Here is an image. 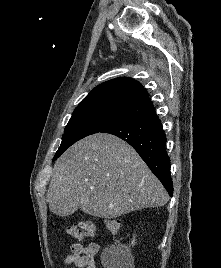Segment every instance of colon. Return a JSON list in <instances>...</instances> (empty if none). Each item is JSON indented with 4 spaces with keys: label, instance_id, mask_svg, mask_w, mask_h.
Masks as SVG:
<instances>
[{
    "label": "colon",
    "instance_id": "1",
    "mask_svg": "<svg viewBox=\"0 0 221 268\" xmlns=\"http://www.w3.org/2000/svg\"><path fill=\"white\" fill-rule=\"evenodd\" d=\"M106 227L110 232L116 234L120 230V223L116 220H107ZM95 230L96 226L92 221H85L78 225L74 224L67 227L68 234L79 241L93 237Z\"/></svg>",
    "mask_w": 221,
    "mask_h": 268
}]
</instances>
